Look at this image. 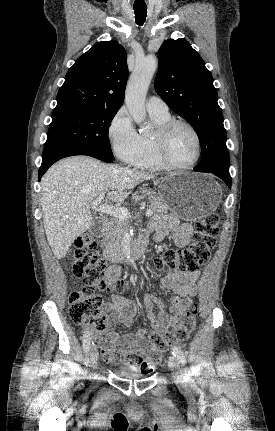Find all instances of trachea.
<instances>
[{
  "label": "trachea",
  "mask_w": 275,
  "mask_h": 431,
  "mask_svg": "<svg viewBox=\"0 0 275 431\" xmlns=\"http://www.w3.org/2000/svg\"><path fill=\"white\" fill-rule=\"evenodd\" d=\"M135 20L139 26H142L146 20L147 8H134Z\"/></svg>",
  "instance_id": "3493384b"
}]
</instances>
